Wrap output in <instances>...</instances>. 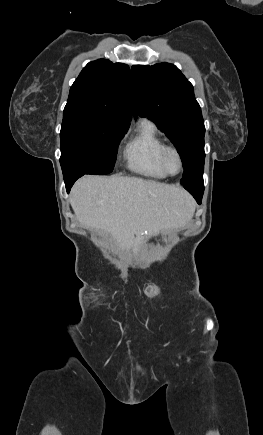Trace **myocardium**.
Instances as JSON below:
<instances>
[{"label":"myocardium","mask_w":263,"mask_h":435,"mask_svg":"<svg viewBox=\"0 0 263 435\" xmlns=\"http://www.w3.org/2000/svg\"><path fill=\"white\" fill-rule=\"evenodd\" d=\"M174 153L178 160H179V170L176 173H172L166 164V157L169 153ZM159 162L161 165V168L163 169V171L168 175V176H176L179 175L183 169H184V159H183V155L181 153V151L174 145H164L160 151V155H159Z\"/></svg>","instance_id":"obj_1"}]
</instances>
